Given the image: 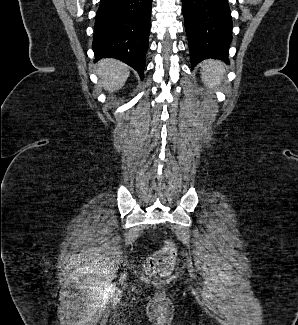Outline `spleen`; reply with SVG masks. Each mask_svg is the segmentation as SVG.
<instances>
[{
  "instance_id": "obj_1",
  "label": "spleen",
  "mask_w": 298,
  "mask_h": 325,
  "mask_svg": "<svg viewBox=\"0 0 298 325\" xmlns=\"http://www.w3.org/2000/svg\"><path fill=\"white\" fill-rule=\"evenodd\" d=\"M224 72L225 64L221 60L208 58L201 64V78L205 86H209V88H219Z\"/></svg>"
}]
</instances>
